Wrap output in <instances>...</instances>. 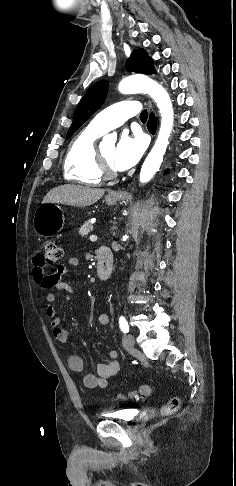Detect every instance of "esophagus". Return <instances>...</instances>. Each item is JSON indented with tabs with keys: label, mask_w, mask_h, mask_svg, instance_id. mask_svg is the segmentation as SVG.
<instances>
[{
	"label": "esophagus",
	"mask_w": 236,
	"mask_h": 486,
	"mask_svg": "<svg viewBox=\"0 0 236 486\" xmlns=\"http://www.w3.org/2000/svg\"><path fill=\"white\" fill-rule=\"evenodd\" d=\"M150 107H151V105H150ZM110 195H111V196H116V194H115V193H111Z\"/></svg>",
	"instance_id": "34e87169"
}]
</instances>
